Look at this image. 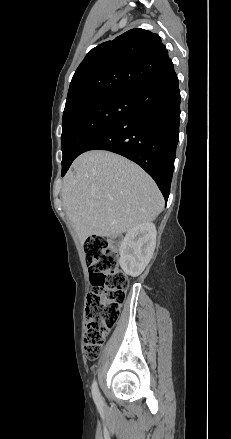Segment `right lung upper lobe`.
I'll list each match as a JSON object with an SVG mask.
<instances>
[{
	"mask_svg": "<svg viewBox=\"0 0 231 439\" xmlns=\"http://www.w3.org/2000/svg\"><path fill=\"white\" fill-rule=\"evenodd\" d=\"M172 69L157 34L131 29L86 55L70 83L64 111L99 95L134 93Z\"/></svg>",
	"mask_w": 231,
	"mask_h": 439,
	"instance_id": "right-lung-upper-lobe-1",
	"label": "right lung upper lobe"
}]
</instances>
